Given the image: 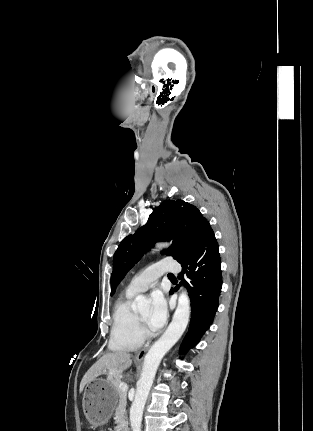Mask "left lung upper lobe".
Masks as SVG:
<instances>
[{"instance_id": "left-lung-upper-lobe-1", "label": "left lung upper lobe", "mask_w": 313, "mask_h": 431, "mask_svg": "<svg viewBox=\"0 0 313 431\" xmlns=\"http://www.w3.org/2000/svg\"><path fill=\"white\" fill-rule=\"evenodd\" d=\"M209 225L195 206L183 200L165 201L154 208L147 223L134 234L125 237L115 252L111 294L155 242L173 240L174 245L163 252L180 263L192 254Z\"/></svg>"}]
</instances>
